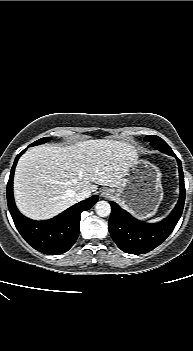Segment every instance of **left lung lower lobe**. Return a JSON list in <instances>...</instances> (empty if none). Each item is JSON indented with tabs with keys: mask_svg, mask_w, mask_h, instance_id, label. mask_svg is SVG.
Returning <instances> with one entry per match:
<instances>
[{
	"mask_svg": "<svg viewBox=\"0 0 193 351\" xmlns=\"http://www.w3.org/2000/svg\"><path fill=\"white\" fill-rule=\"evenodd\" d=\"M176 157L174 153L170 154ZM180 177V197L170 215L159 223L148 224L132 217L115 202L110 201L109 231L117 246L129 254H144L159 246L173 231L181 217L185 202L184 175L181 161L176 157Z\"/></svg>",
	"mask_w": 193,
	"mask_h": 351,
	"instance_id": "1",
	"label": "left lung lower lobe"
}]
</instances>
